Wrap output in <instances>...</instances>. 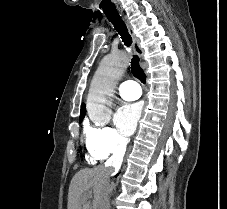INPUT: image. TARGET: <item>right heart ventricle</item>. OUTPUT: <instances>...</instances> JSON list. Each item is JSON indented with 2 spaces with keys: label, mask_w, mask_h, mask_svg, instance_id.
I'll list each match as a JSON object with an SVG mask.
<instances>
[{
  "label": "right heart ventricle",
  "mask_w": 227,
  "mask_h": 209,
  "mask_svg": "<svg viewBox=\"0 0 227 209\" xmlns=\"http://www.w3.org/2000/svg\"><path fill=\"white\" fill-rule=\"evenodd\" d=\"M86 160L89 164L94 165L98 160H102V159H100L96 153L88 150L86 154Z\"/></svg>",
  "instance_id": "right-heart-ventricle-1"
}]
</instances>
